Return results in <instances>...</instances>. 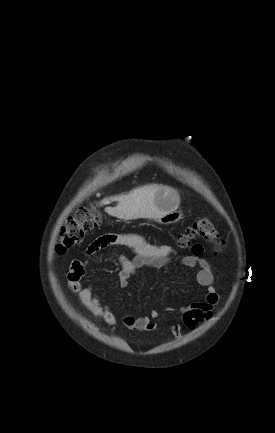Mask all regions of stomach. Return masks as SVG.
<instances>
[{"label":"stomach","mask_w":275,"mask_h":433,"mask_svg":"<svg viewBox=\"0 0 275 433\" xmlns=\"http://www.w3.org/2000/svg\"><path fill=\"white\" fill-rule=\"evenodd\" d=\"M180 198L173 188L162 186L155 193V205L160 213L156 220L160 224H172L182 218V214L177 212Z\"/></svg>","instance_id":"1"}]
</instances>
